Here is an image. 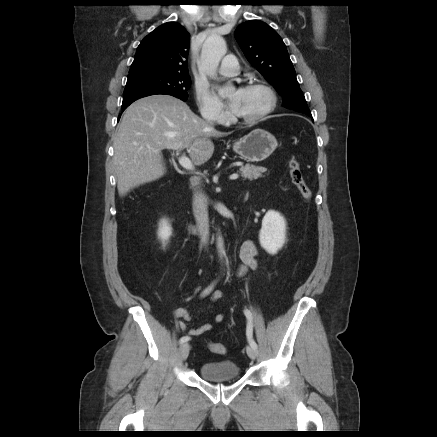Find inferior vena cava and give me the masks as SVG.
<instances>
[{"instance_id":"602c4592","label":"inferior vena cava","mask_w":437,"mask_h":437,"mask_svg":"<svg viewBox=\"0 0 437 437\" xmlns=\"http://www.w3.org/2000/svg\"><path fill=\"white\" fill-rule=\"evenodd\" d=\"M203 117L208 121H212L213 117L204 114ZM193 212L198 225L201 243L207 244L209 239V218L207 210V199L200 191H196L193 197Z\"/></svg>"}]
</instances>
